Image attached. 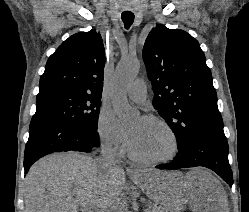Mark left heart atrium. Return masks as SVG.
<instances>
[{
	"mask_svg": "<svg viewBox=\"0 0 249 212\" xmlns=\"http://www.w3.org/2000/svg\"><path fill=\"white\" fill-rule=\"evenodd\" d=\"M134 142V137L132 135H129V143L132 145Z\"/></svg>",
	"mask_w": 249,
	"mask_h": 212,
	"instance_id": "obj_1",
	"label": "left heart atrium"
}]
</instances>
